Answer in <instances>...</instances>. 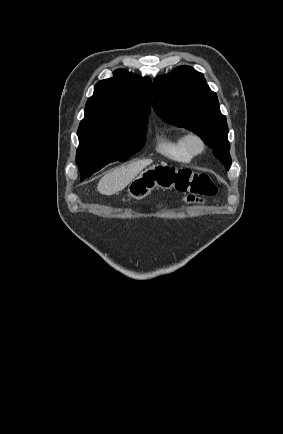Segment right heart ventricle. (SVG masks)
Here are the masks:
<instances>
[{
	"instance_id": "obj_1",
	"label": "right heart ventricle",
	"mask_w": 283,
	"mask_h": 434,
	"mask_svg": "<svg viewBox=\"0 0 283 434\" xmlns=\"http://www.w3.org/2000/svg\"><path fill=\"white\" fill-rule=\"evenodd\" d=\"M156 151L162 156L180 163L190 162L191 156L186 151L183 144V136L161 135L156 142Z\"/></svg>"
}]
</instances>
